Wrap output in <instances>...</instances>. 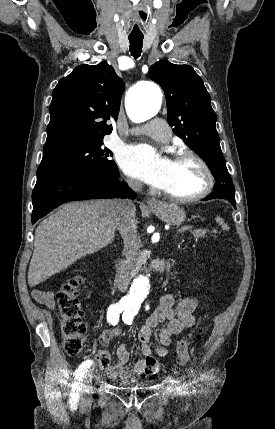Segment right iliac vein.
I'll use <instances>...</instances> for the list:
<instances>
[{
  "mask_svg": "<svg viewBox=\"0 0 275 429\" xmlns=\"http://www.w3.org/2000/svg\"><path fill=\"white\" fill-rule=\"evenodd\" d=\"M91 378H92V374L90 372H88V374L84 377V379L82 380V388H81V399L84 402H87L90 397L87 395V391L89 390V384L91 382Z\"/></svg>",
  "mask_w": 275,
  "mask_h": 429,
  "instance_id": "63e3f726",
  "label": "right iliac vein"
}]
</instances>
